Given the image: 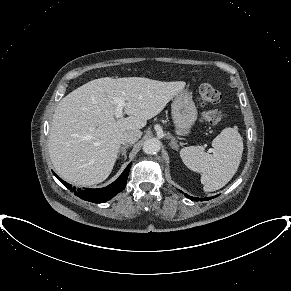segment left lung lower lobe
<instances>
[{
  "instance_id": "obj_1",
  "label": "left lung lower lobe",
  "mask_w": 291,
  "mask_h": 291,
  "mask_svg": "<svg viewBox=\"0 0 291 291\" xmlns=\"http://www.w3.org/2000/svg\"><path fill=\"white\" fill-rule=\"evenodd\" d=\"M185 196L187 197V198H189V199H191V200H194V201H198V200H200V201H206V200H209V199H211V197H209V198H196V197H191V196H189V195H187V194H185Z\"/></svg>"
}]
</instances>
